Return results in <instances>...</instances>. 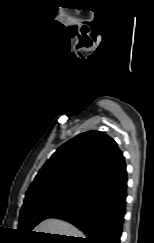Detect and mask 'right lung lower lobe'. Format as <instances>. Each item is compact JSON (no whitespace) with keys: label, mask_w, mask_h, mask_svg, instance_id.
<instances>
[{"label":"right lung lower lobe","mask_w":154,"mask_h":243,"mask_svg":"<svg viewBox=\"0 0 154 243\" xmlns=\"http://www.w3.org/2000/svg\"><path fill=\"white\" fill-rule=\"evenodd\" d=\"M127 197V172L93 193L86 202L53 218L65 220L86 234L77 243H120Z\"/></svg>","instance_id":"obj_1"}]
</instances>
